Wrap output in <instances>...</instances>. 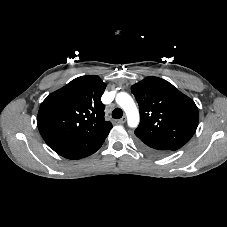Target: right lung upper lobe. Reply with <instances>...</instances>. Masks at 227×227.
<instances>
[{
    "label": "right lung upper lobe",
    "mask_w": 227,
    "mask_h": 227,
    "mask_svg": "<svg viewBox=\"0 0 227 227\" xmlns=\"http://www.w3.org/2000/svg\"><path fill=\"white\" fill-rule=\"evenodd\" d=\"M105 83L96 75L78 77L51 93L37 116L41 136L59 155L81 159L95 153L112 128L104 119Z\"/></svg>",
    "instance_id": "cb5924a9"
}]
</instances>
